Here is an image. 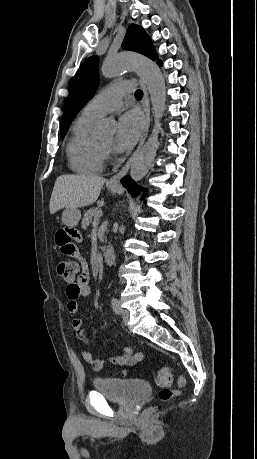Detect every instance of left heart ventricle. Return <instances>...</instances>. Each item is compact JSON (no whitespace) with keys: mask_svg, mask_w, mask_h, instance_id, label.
<instances>
[{"mask_svg":"<svg viewBox=\"0 0 257 459\" xmlns=\"http://www.w3.org/2000/svg\"><path fill=\"white\" fill-rule=\"evenodd\" d=\"M101 143L106 146H111V144L113 143V137L112 136L106 137L101 140Z\"/></svg>","mask_w":257,"mask_h":459,"instance_id":"b2bd125f","label":"left heart ventricle"}]
</instances>
